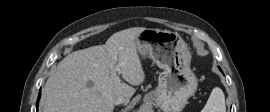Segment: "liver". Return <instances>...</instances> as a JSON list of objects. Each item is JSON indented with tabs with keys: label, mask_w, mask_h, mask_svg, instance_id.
I'll return each instance as SVG.
<instances>
[{
	"label": "liver",
	"mask_w": 270,
	"mask_h": 112,
	"mask_svg": "<svg viewBox=\"0 0 270 112\" xmlns=\"http://www.w3.org/2000/svg\"><path fill=\"white\" fill-rule=\"evenodd\" d=\"M145 29L128 28L114 33L104 45L67 55L45 84L42 112H113L119 95L128 103L136 90L118 73L133 86L144 82L137 40Z\"/></svg>",
	"instance_id": "obj_1"
}]
</instances>
